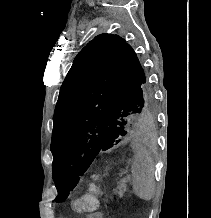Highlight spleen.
I'll return each instance as SVG.
<instances>
[{
    "instance_id": "obj_1",
    "label": "spleen",
    "mask_w": 211,
    "mask_h": 218,
    "mask_svg": "<svg viewBox=\"0 0 211 218\" xmlns=\"http://www.w3.org/2000/svg\"><path fill=\"white\" fill-rule=\"evenodd\" d=\"M133 190L142 200H151L154 196L155 182L151 160L146 152L137 150L135 162L131 166Z\"/></svg>"
}]
</instances>
